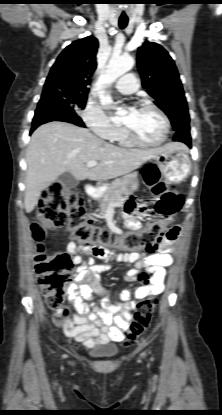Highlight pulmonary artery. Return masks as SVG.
Wrapping results in <instances>:
<instances>
[{"label": "pulmonary artery", "mask_w": 222, "mask_h": 415, "mask_svg": "<svg viewBox=\"0 0 222 415\" xmlns=\"http://www.w3.org/2000/svg\"><path fill=\"white\" fill-rule=\"evenodd\" d=\"M115 87L124 94H131L135 92L138 88V81L133 74H126L120 77L116 83Z\"/></svg>", "instance_id": "obj_1"}]
</instances>
